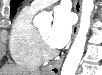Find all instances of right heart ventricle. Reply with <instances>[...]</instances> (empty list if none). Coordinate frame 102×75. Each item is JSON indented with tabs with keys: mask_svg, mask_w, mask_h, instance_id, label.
Wrapping results in <instances>:
<instances>
[{
	"mask_svg": "<svg viewBox=\"0 0 102 75\" xmlns=\"http://www.w3.org/2000/svg\"><path fill=\"white\" fill-rule=\"evenodd\" d=\"M34 14L35 11L27 6L18 13L9 42L14 62L28 68H36L41 63L37 41L38 30L33 24Z\"/></svg>",
	"mask_w": 102,
	"mask_h": 75,
	"instance_id": "right-heart-ventricle-1",
	"label": "right heart ventricle"
}]
</instances>
